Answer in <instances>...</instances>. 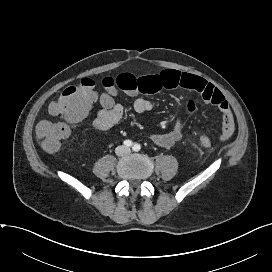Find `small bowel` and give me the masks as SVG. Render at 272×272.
<instances>
[{
  "instance_id": "obj_1",
  "label": "small bowel",
  "mask_w": 272,
  "mask_h": 272,
  "mask_svg": "<svg viewBox=\"0 0 272 272\" xmlns=\"http://www.w3.org/2000/svg\"><path fill=\"white\" fill-rule=\"evenodd\" d=\"M116 86L124 93L135 96L139 93L154 94L162 89L185 88L203 100L212 104L221 112V132L219 139L228 140L234 132V119L231 109L224 95L213 84L198 76L182 73L176 70H164L159 73L135 76L124 72L115 78ZM134 109L139 114L150 112L153 104L144 98L134 101ZM196 108V99L192 96L185 106V115H189ZM124 116V108L119 103H113L109 107L99 110L93 120V126L100 131H106L116 125ZM186 119L179 120L174 128L166 133H155L150 136L152 142L163 148H170L179 142L184 133Z\"/></svg>"
}]
</instances>
